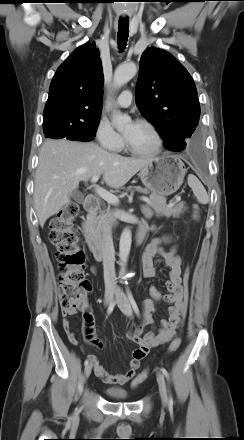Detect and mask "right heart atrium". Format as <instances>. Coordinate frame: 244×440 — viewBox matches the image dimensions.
I'll list each match as a JSON object with an SVG mask.
<instances>
[{"mask_svg":"<svg viewBox=\"0 0 244 440\" xmlns=\"http://www.w3.org/2000/svg\"><path fill=\"white\" fill-rule=\"evenodd\" d=\"M95 137L101 147L110 151H117L123 146L122 136L114 130L110 121L105 117L99 119Z\"/></svg>","mask_w":244,"mask_h":440,"instance_id":"obj_1","label":"right heart atrium"}]
</instances>
